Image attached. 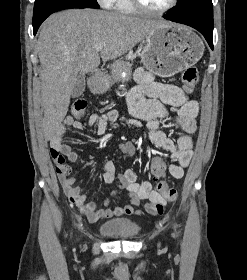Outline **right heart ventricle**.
I'll return each instance as SVG.
<instances>
[{"label": "right heart ventricle", "mask_w": 247, "mask_h": 280, "mask_svg": "<svg viewBox=\"0 0 247 280\" xmlns=\"http://www.w3.org/2000/svg\"><path fill=\"white\" fill-rule=\"evenodd\" d=\"M113 8L124 14H131L136 11L130 0H115L113 3Z\"/></svg>", "instance_id": "1"}]
</instances>
